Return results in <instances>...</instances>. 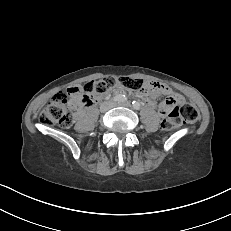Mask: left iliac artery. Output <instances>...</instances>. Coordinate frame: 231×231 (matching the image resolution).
Wrapping results in <instances>:
<instances>
[{
	"label": "left iliac artery",
	"mask_w": 231,
	"mask_h": 231,
	"mask_svg": "<svg viewBox=\"0 0 231 231\" xmlns=\"http://www.w3.org/2000/svg\"><path fill=\"white\" fill-rule=\"evenodd\" d=\"M132 106L134 109L139 110L140 109V103L138 101H133Z\"/></svg>",
	"instance_id": "1"
}]
</instances>
